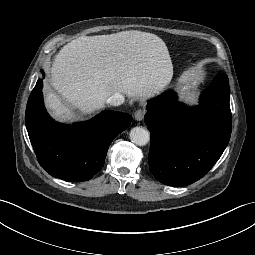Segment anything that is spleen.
Instances as JSON below:
<instances>
[{
	"label": "spleen",
	"instance_id": "3e777b00",
	"mask_svg": "<svg viewBox=\"0 0 255 255\" xmlns=\"http://www.w3.org/2000/svg\"><path fill=\"white\" fill-rule=\"evenodd\" d=\"M203 80L204 76L201 72H185L180 79L181 84L179 86V90L181 92V98L187 102H195L196 94L193 92V89Z\"/></svg>",
	"mask_w": 255,
	"mask_h": 255
}]
</instances>
